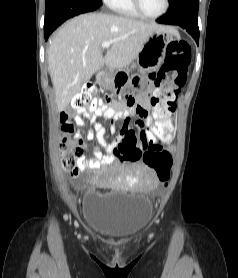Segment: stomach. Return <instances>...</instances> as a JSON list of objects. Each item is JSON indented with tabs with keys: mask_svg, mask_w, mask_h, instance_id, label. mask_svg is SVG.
Segmentation results:
<instances>
[{
	"mask_svg": "<svg viewBox=\"0 0 238 278\" xmlns=\"http://www.w3.org/2000/svg\"><path fill=\"white\" fill-rule=\"evenodd\" d=\"M176 36L178 32L173 27H164L162 30L154 31L149 35L136 57L137 74H134V69H118L116 73L100 72L96 77L97 82L104 88L113 89V93H117V99L121 98L122 89L146 87L147 71H151L152 67L158 68L162 64L166 48Z\"/></svg>",
	"mask_w": 238,
	"mask_h": 278,
	"instance_id": "obj_1",
	"label": "stomach"
}]
</instances>
